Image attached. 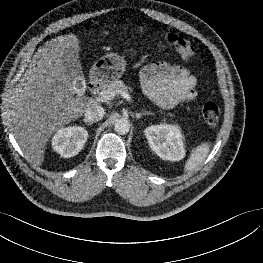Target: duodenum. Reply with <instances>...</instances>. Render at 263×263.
Listing matches in <instances>:
<instances>
[{"mask_svg":"<svg viewBox=\"0 0 263 263\" xmlns=\"http://www.w3.org/2000/svg\"><path fill=\"white\" fill-rule=\"evenodd\" d=\"M100 87H101L100 82H98L96 80L90 82V84H89V89L91 92H97L100 89Z\"/></svg>","mask_w":263,"mask_h":263,"instance_id":"duodenum-1","label":"duodenum"}]
</instances>
